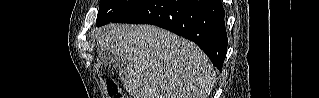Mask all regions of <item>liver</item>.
<instances>
[{
    "label": "liver",
    "instance_id": "6515ba94",
    "mask_svg": "<svg viewBox=\"0 0 319 98\" xmlns=\"http://www.w3.org/2000/svg\"><path fill=\"white\" fill-rule=\"evenodd\" d=\"M99 45L123 60L115 65L133 98H207L216 73L193 42L152 25L110 24Z\"/></svg>",
    "mask_w": 319,
    "mask_h": 98
}]
</instances>
